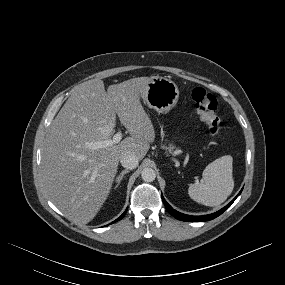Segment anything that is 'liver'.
Wrapping results in <instances>:
<instances>
[{"mask_svg": "<svg viewBox=\"0 0 285 285\" xmlns=\"http://www.w3.org/2000/svg\"><path fill=\"white\" fill-rule=\"evenodd\" d=\"M148 77L110 85L100 79L77 85L46 134L41 180L55 206L71 221L86 224L106 201L119 160L132 153L138 160L154 142L155 130L140 97ZM116 115L130 137L117 144L89 149L87 143L111 140Z\"/></svg>", "mask_w": 285, "mask_h": 285, "instance_id": "liver-1", "label": "liver"}]
</instances>
